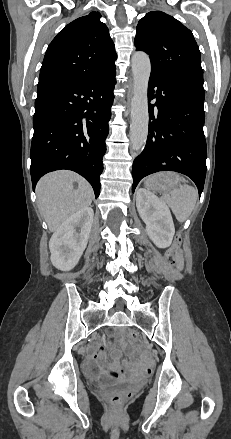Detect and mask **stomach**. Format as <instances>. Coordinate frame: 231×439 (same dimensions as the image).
<instances>
[{"instance_id":"stomach-1","label":"stomach","mask_w":231,"mask_h":439,"mask_svg":"<svg viewBox=\"0 0 231 439\" xmlns=\"http://www.w3.org/2000/svg\"><path fill=\"white\" fill-rule=\"evenodd\" d=\"M183 179L172 172H162L148 177L145 184L154 191H171L177 188Z\"/></svg>"}]
</instances>
